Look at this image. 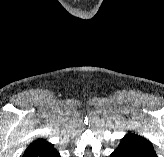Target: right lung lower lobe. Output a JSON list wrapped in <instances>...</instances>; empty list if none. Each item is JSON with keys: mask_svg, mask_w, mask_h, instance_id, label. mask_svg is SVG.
Wrapping results in <instances>:
<instances>
[{"mask_svg": "<svg viewBox=\"0 0 164 157\" xmlns=\"http://www.w3.org/2000/svg\"><path fill=\"white\" fill-rule=\"evenodd\" d=\"M23 157H60V155L52 144L42 140L27 148Z\"/></svg>", "mask_w": 164, "mask_h": 157, "instance_id": "98d812e1", "label": "right lung lower lobe"}]
</instances>
